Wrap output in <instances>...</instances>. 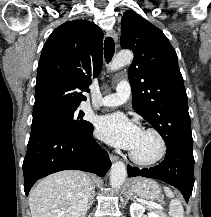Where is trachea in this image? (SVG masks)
Masks as SVG:
<instances>
[{
	"label": "trachea",
	"instance_id": "obj_1",
	"mask_svg": "<svg viewBox=\"0 0 211 217\" xmlns=\"http://www.w3.org/2000/svg\"><path fill=\"white\" fill-rule=\"evenodd\" d=\"M115 52L114 40L111 37H107L104 41V58L109 63Z\"/></svg>",
	"mask_w": 211,
	"mask_h": 217
}]
</instances>
